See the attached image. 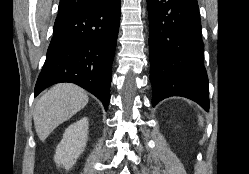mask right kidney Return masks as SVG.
<instances>
[{"mask_svg": "<svg viewBox=\"0 0 249 174\" xmlns=\"http://www.w3.org/2000/svg\"><path fill=\"white\" fill-rule=\"evenodd\" d=\"M88 118L84 117L71 124L64 132L54 155L56 165L69 170L83 153L88 139Z\"/></svg>", "mask_w": 249, "mask_h": 174, "instance_id": "1", "label": "right kidney"}]
</instances>
